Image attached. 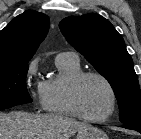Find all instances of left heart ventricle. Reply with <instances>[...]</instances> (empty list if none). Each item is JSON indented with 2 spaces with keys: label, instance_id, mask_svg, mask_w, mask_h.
I'll return each instance as SVG.
<instances>
[{
  "label": "left heart ventricle",
  "instance_id": "obj_1",
  "mask_svg": "<svg viewBox=\"0 0 141 139\" xmlns=\"http://www.w3.org/2000/svg\"><path fill=\"white\" fill-rule=\"evenodd\" d=\"M78 96L83 112L90 117H103L111 108L109 89L98 78H86L80 85Z\"/></svg>",
  "mask_w": 141,
  "mask_h": 139
}]
</instances>
